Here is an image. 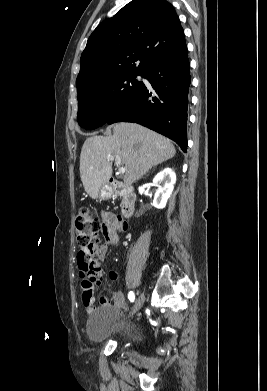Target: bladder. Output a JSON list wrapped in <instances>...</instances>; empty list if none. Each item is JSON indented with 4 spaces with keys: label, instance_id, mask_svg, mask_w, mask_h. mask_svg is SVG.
I'll return each instance as SVG.
<instances>
[{
    "label": "bladder",
    "instance_id": "31cf9c89",
    "mask_svg": "<svg viewBox=\"0 0 267 391\" xmlns=\"http://www.w3.org/2000/svg\"><path fill=\"white\" fill-rule=\"evenodd\" d=\"M87 337L94 343L115 339L120 342H137L140 331L134 321L124 317L119 306L98 307L91 315L86 329Z\"/></svg>",
    "mask_w": 267,
    "mask_h": 391
}]
</instances>
